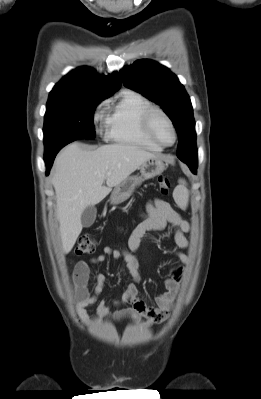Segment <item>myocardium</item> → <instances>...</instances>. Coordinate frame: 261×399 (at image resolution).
I'll return each instance as SVG.
<instances>
[{
	"mask_svg": "<svg viewBox=\"0 0 261 399\" xmlns=\"http://www.w3.org/2000/svg\"><path fill=\"white\" fill-rule=\"evenodd\" d=\"M155 114H160L161 116H163L167 122L169 123L172 131H173V141L171 144H164L162 143L154 134L153 129H152V119L153 116ZM142 129L144 131V133L146 134V136L153 142L155 143L157 146L161 147V148H169L172 147L178 138V134H177V129L175 127V124L173 122V120L171 119V117L161 108L156 107V106H151L150 108H148L142 115Z\"/></svg>",
	"mask_w": 261,
	"mask_h": 399,
	"instance_id": "obj_1",
	"label": "myocardium"
}]
</instances>
